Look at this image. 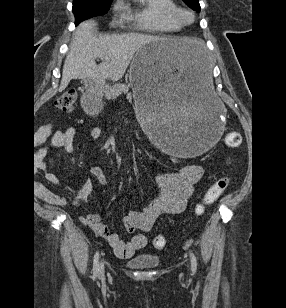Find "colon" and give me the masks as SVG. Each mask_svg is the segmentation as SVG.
I'll return each mask as SVG.
<instances>
[{"instance_id":"colon-1","label":"colon","mask_w":286,"mask_h":308,"mask_svg":"<svg viewBox=\"0 0 286 308\" xmlns=\"http://www.w3.org/2000/svg\"><path fill=\"white\" fill-rule=\"evenodd\" d=\"M77 93L74 89H68L59 94L54 101L55 107L62 112H71L74 109ZM225 144L230 148H238L242 143L241 134L237 131H230L225 135ZM230 184L229 176L218 178L205 192L203 199L195 207V213L202 215L205 206L214 203L228 188ZM153 246L161 249L165 247L166 240L163 236L157 235L153 238Z\"/></svg>"}]
</instances>
